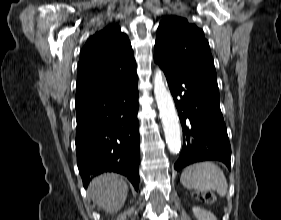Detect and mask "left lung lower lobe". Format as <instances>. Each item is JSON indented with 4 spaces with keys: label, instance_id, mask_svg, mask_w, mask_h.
<instances>
[{
    "label": "left lung lower lobe",
    "instance_id": "1",
    "mask_svg": "<svg viewBox=\"0 0 281 220\" xmlns=\"http://www.w3.org/2000/svg\"><path fill=\"white\" fill-rule=\"evenodd\" d=\"M164 71L182 122L183 148L174 168L218 160L230 168L231 147L220 110L219 89L192 71L157 62Z\"/></svg>",
    "mask_w": 281,
    "mask_h": 220
}]
</instances>
